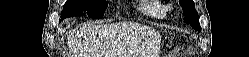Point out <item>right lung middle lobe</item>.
<instances>
[{"instance_id": "1", "label": "right lung middle lobe", "mask_w": 249, "mask_h": 57, "mask_svg": "<svg viewBox=\"0 0 249 57\" xmlns=\"http://www.w3.org/2000/svg\"><path fill=\"white\" fill-rule=\"evenodd\" d=\"M108 4L100 0H67L61 18L78 16L87 13L88 16L100 19L103 17Z\"/></svg>"}]
</instances>
